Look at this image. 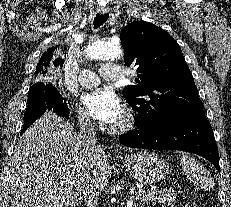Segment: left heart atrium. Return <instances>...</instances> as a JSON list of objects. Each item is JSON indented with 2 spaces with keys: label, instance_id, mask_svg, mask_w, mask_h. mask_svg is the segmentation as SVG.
Returning <instances> with one entry per match:
<instances>
[{
  "label": "left heart atrium",
  "instance_id": "left-heart-atrium-1",
  "mask_svg": "<svg viewBox=\"0 0 231 207\" xmlns=\"http://www.w3.org/2000/svg\"><path fill=\"white\" fill-rule=\"evenodd\" d=\"M88 114L105 125H112L122 119L124 105L120 97L109 89H96L81 98Z\"/></svg>",
  "mask_w": 231,
  "mask_h": 207
}]
</instances>
